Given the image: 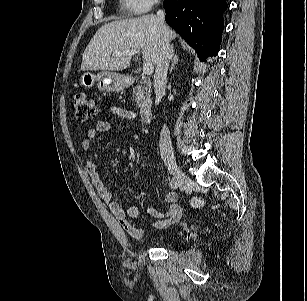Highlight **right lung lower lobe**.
I'll list each match as a JSON object with an SVG mask.
<instances>
[{
    "instance_id": "1",
    "label": "right lung lower lobe",
    "mask_w": 307,
    "mask_h": 301,
    "mask_svg": "<svg viewBox=\"0 0 307 301\" xmlns=\"http://www.w3.org/2000/svg\"><path fill=\"white\" fill-rule=\"evenodd\" d=\"M166 22L192 46L201 61L221 44L226 0H165Z\"/></svg>"
}]
</instances>
